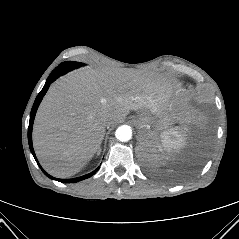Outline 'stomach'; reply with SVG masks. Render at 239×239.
<instances>
[{"label":"stomach","instance_id":"obj_1","mask_svg":"<svg viewBox=\"0 0 239 239\" xmlns=\"http://www.w3.org/2000/svg\"><path fill=\"white\" fill-rule=\"evenodd\" d=\"M176 116L177 114L171 111H163L162 113L155 115L154 120L149 127L152 134H156L162 130L167 129L177 120Z\"/></svg>","mask_w":239,"mask_h":239}]
</instances>
